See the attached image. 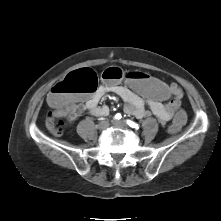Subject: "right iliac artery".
I'll return each instance as SVG.
<instances>
[{"mask_svg":"<svg viewBox=\"0 0 221 221\" xmlns=\"http://www.w3.org/2000/svg\"><path fill=\"white\" fill-rule=\"evenodd\" d=\"M121 117H122L121 114H120V113H117L114 118H115L116 120H119V119H121Z\"/></svg>","mask_w":221,"mask_h":221,"instance_id":"obj_1","label":"right iliac artery"}]
</instances>
